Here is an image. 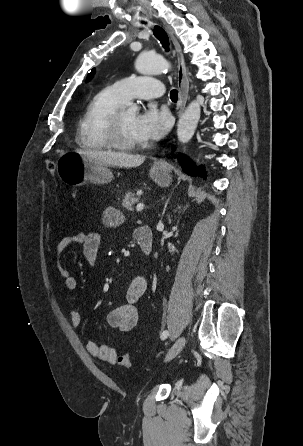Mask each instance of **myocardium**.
<instances>
[{"label": "myocardium", "mask_w": 303, "mask_h": 446, "mask_svg": "<svg viewBox=\"0 0 303 446\" xmlns=\"http://www.w3.org/2000/svg\"><path fill=\"white\" fill-rule=\"evenodd\" d=\"M123 109H117L109 118L107 124V139L111 148L130 151L141 147L138 142H129L123 138L122 135V125H121V115Z\"/></svg>", "instance_id": "myocardium-1"}]
</instances>
